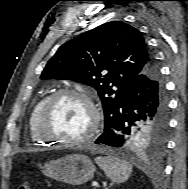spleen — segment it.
<instances>
[{"label":"spleen","mask_w":188,"mask_h":189,"mask_svg":"<svg viewBox=\"0 0 188 189\" xmlns=\"http://www.w3.org/2000/svg\"><path fill=\"white\" fill-rule=\"evenodd\" d=\"M95 162L105 172L106 176L112 182L123 183L127 181L132 172V166L124 161L115 157H96Z\"/></svg>","instance_id":"spleen-1"}]
</instances>
